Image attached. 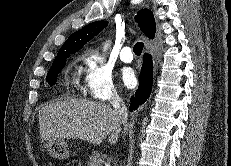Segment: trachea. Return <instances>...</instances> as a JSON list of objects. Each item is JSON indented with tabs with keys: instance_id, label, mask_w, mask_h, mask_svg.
I'll list each match as a JSON object with an SVG mask.
<instances>
[{
	"instance_id": "3493384b",
	"label": "trachea",
	"mask_w": 231,
	"mask_h": 166,
	"mask_svg": "<svg viewBox=\"0 0 231 166\" xmlns=\"http://www.w3.org/2000/svg\"><path fill=\"white\" fill-rule=\"evenodd\" d=\"M144 44L142 42H137L133 47V52L135 55L140 56L143 51Z\"/></svg>"
}]
</instances>
